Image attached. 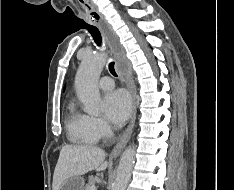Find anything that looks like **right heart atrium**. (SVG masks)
<instances>
[{"instance_id": "right-heart-atrium-1", "label": "right heart atrium", "mask_w": 234, "mask_h": 190, "mask_svg": "<svg viewBox=\"0 0 234 190\" xmlns=\"http://www.w3.org/2000/svg\"><path fill=\"white\" fill-rule=\"evenodd\" d=\"M89 123L99 138H105L111 133L109 124L100 117L88 116Z\"/></svg>"}]
</instances>
